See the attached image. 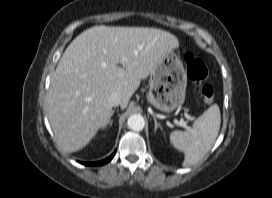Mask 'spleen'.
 Listing matches in <instances>:
<instances>
[{"label":"spleen","mask_w":272,"mask_h":198,"mask_svg":"<svg viewBox=\"0 0 272 198\" xmlns=\"http://www.w3.org/2000/svg\"><path fill=\"white\" fill-rule=\"evenodd\" d=\"M220 122V109L217 104H213L197 118L191 130L170 133L171 144L184 153L183 166L196 164L211 150L220 129Z\"/></svg>","instance_id":"spleen-1"}]
</instances>
